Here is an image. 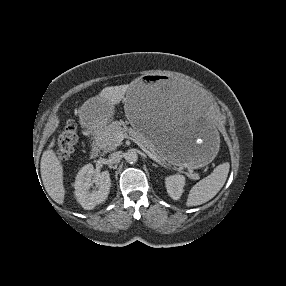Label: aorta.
<instances>
[{
  "label": "aorta",
  "instance_id": "obj_1",
  "mask_svg": "<svg viewBox=\"0 0 286 286\" xmlns=\"http://www.w3.org/2000/svg\"><path fill=\"white\" fill-rule=\"evenodd\" d=\"M125 160L131 164L136 163L138 161L137 152L134 149L128 150L125 154Z\"/></svg>",
  "mask_w": 286,
  "mask_h": 286
}]
</instances>
